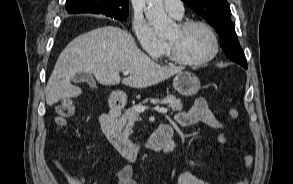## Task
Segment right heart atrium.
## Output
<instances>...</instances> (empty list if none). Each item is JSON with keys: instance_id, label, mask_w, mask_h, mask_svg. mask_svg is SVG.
I'll use <instances>...</instances> for the list:
<instances>
[{"instance_id": "obj_1", "label": "right heart atrium", "mask_w": 293, "mask_h": 184, "mask_svg": "<svg viewBox=\"0 0 293 184\" xmlns=\"http://www.w3.org/2000/svg\"><path fill=\"white\" fill-rule=\"evenodd\" d=\"M133 32L138 44L144 52L152 58H159L166 44L154 32L152 27L143 19H135L133 21Z\"/></svg>"}]
</instances>
